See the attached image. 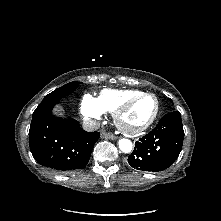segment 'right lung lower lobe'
<instances>
[{
  "mask_svg": "<svg viewBox=\"0 0 221 221\" xmlns=\"http://www.w3.org/2000/svg\"><path fill=\"white\" fill-rule=\"evenodd\" d=\"M50 102L38 106L29 130L30 150L35 160L58 172L84 168L100 133L86 132L74 119L54 117Z\"/></svg>",
  "mask_w": 221,
  "mask_h": 221,
  "instance_id": "right-lung-lower-lobe-1",
  "label": "right lung lower lobe"
}]
</instances>
